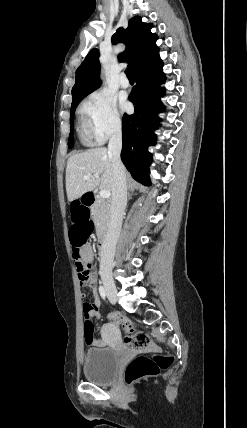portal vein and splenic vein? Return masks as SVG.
I'll return each mask as SVG.
<instances>
[{
	"label": "portal vein and splenic vein",
	"instance_id": "1",
	"mask_svg": "<svg viewBox=\"0 0 247 428\" xmlns=\"http://www.w3.org/2000/svg\"><path fill=\"white\" fill-rule=\"evenodd\" d=\"M95 177H97V176H95ZM92 178V176H88V175H85L84 176V179L85 180H89V179H91ZM110 195H111V193H110V191L109 190H101L100 191V196L102 197V198H109L110 197Z\"/></svg>",
	"mask_w": 247,
	"mask_h": 428
}]
</instances>
